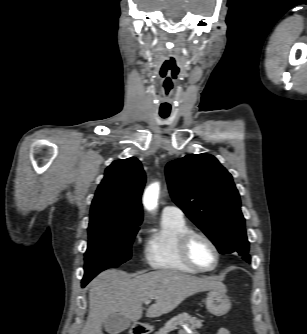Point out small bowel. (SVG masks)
<instances>
[{
	"mask_svg": "<svg viewBox=\"0 0 307 334\" xmlns=\"http://www.w3.org/2000/svg\"><path fill=\"white\" fill-rule=\"evenodd\" d=\"M216 334H230L227 328H219Z\"/></svg>",
	"mask_w": 307,
	"mask_h": 334,
	"instance_id": "1",
	"label": "small bowel"
}]
</instances>
